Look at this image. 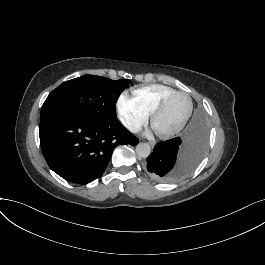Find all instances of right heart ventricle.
Segmentation results:
<instances>
[{
	"mask_svg": "<svg viewBox=\"0 0 265 265\" xmlns=\"http://www.w3.org/2000/svg\"><path fill=\"white\" fill-rule=\"evenodd\" d=\"M172 91H174L173 88L159 84H153L134 89L132 92L135 99L141 102L148 112L151 113L158 100Z\"/></svg>",
	"mask_w": 265,
	"mask_h": 265,
	"instance_id": "obj_1",
	"label": "right heart ventricle"
}]
</instances>
